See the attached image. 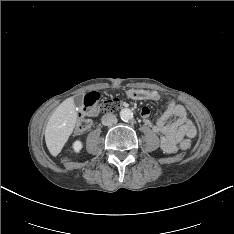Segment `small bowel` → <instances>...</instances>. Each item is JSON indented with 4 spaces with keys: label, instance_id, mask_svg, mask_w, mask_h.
<instances>
[{
    "label": "small bowel",
    "instance_id": "small-bowel-1",
    "mask_svg": "<svg viewBox=\"0 0 234 234\" xmlns=\"http://www.w3.org/2000/svg\"><path fill=\"white\" fill-rule=\"evenodd\" d=\"M140 113L144 124L162 135L161 147L167 153H173L182 138L196 136V128L188 119L186 109L176 103L174 99H169L167 107L160 113L155 122L150 120L148 107H143ZM170 118H174V120L169 121Z\"/></svg>",
    "mask_w": 234,
    "mask_h": 234
}]
</instances>
